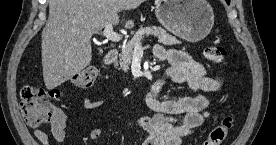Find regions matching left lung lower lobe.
<instances>
[{
    "label": "left lung lower lobe",
    "mask_w": 276,
    "mask_h": 145,
    "mask_svg": "<svg viewBox=\"0 0 276 145\" xmlns=\"http://www.w3.org/2000/svg\"><path fill=\"white\" fill-rule=\"evenodd\" d=\"M226 2H227V4H229V3H230V0H226Z\"/></svg>",
    "instance_id": "obj_1"
}]
</instances>
